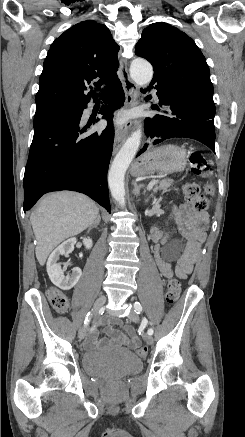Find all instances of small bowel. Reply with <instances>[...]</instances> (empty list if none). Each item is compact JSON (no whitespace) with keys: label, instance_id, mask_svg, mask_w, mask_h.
<instances>
[{"label":"small bowel","instance_id":"1","mask_svg":"<svg viewBox=\"0 0 245 437\" xmlns=\"http://www.w3.org/2000/svg\"><path fill=\"white\" fill-rule=\"evenodd\" d=\"M170 218L175 224L171 232H164L159 229H155L153 232V239L158 242L154 250L155 261L164 277L170 278L176 275L179 278H186L192 272L193 265L199 258L201 245L206 239L209 215L206 212H199L191 202H187L173 208ZM172 234H178L185 240L184 252L175 266L161 256V245ZM106 331L115 343L124 347L135 348L140 344L138 336L131 328L127 329L128 337L111 326H107ZM96 344L97 332L94 330L90 333L86 346L90 348Z\"/></svg>","mask_w":245,"mask_h":437}]
</instances>
